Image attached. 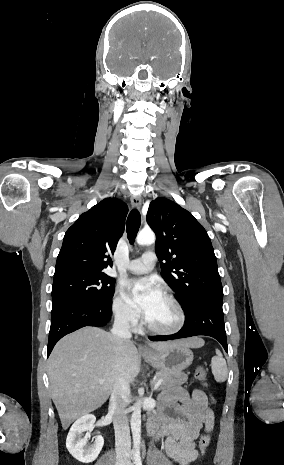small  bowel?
<instances>
[{
    "label": "small bowel",
    "mask_w": 284,
    "mask_h": 465,
    "mask_svg": "<svg viewBox=\"0 0 284 465\" xmlns=\"http://www.w3.org/2000/svg\"><path fill=\"white\" fill-rule=\"evenodd\" d=\"M165 407L159 419L163 423L158 430L157 420L149 423V433L155 434L169 459L176 465H191L199 456L195 440L200 432L211 433L214 414L205 393L199 389L188 392L175 387L162 395Z\"/></svg>",
    "instance_id": "obj_1"
}]
</instances>
